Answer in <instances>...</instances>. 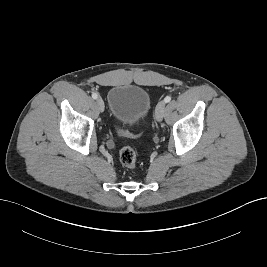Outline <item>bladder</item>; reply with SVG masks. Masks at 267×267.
I'll return each instance as SVG.
<instances>
[{"label": "bladder", "instance_id": "1", "mask_svg": "<svg viewBox=\"0 0 267 267\" xmlns=\"http://www.w3.org/2000/svg\"><path fill=\"white\" fill-rule=\"evenodd\" d=\"M111 117L117 123L134 126L144 120L151 109L149 93L137 85H117L107 95Z\"/></svg>", "mask_w": 267, "mask_h": 267}]
</instances>
